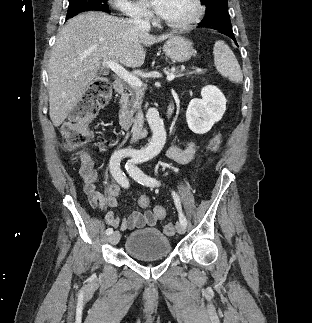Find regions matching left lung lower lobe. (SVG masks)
I'll return each mask as SVG.
<instances>
[{
	"label": "left lung lower lobe",
	"mask_w": 312,
	"mask_h": 323,
	"mask_svg": "<svg viewBox=\"0 0 312 323\" xmlns=\"http://www.w3.org/2000/svg\"><path fill=\"white\" fill-rule=\"evenodd\" d=\"M211 29L217 30L218 32H220L222 34H225V35L229 36L230 38H232L236 42V39H235L234 33L232 31V26L231 25L221 24L218 27L211 28Z\"/></svg>",
	"instance_id": "0a47b994"
}]
</instances>
